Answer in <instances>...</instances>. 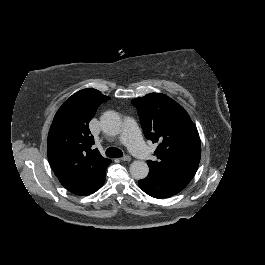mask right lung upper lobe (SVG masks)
I'll return each mask as SVG.
<instances>
[{"instance_id": "cb5924a9", "label": "right lung upper lobe", "mask_w": 265, "mask_h": 265, "mask_svg": "<svg viewBox=\"0 0 265 265\" xmlns=\"http://www.w3.org/2000/svg\"><path fill=\"white\" fill-rule=\"evenodd\" d=\"M109 99L96 89L80 90L62 104L50 127V166L60 183L76 195H89L104 184L111 160L91 148L94 138L88 124L99 105Z\"/></svg>"}]
</instances>
